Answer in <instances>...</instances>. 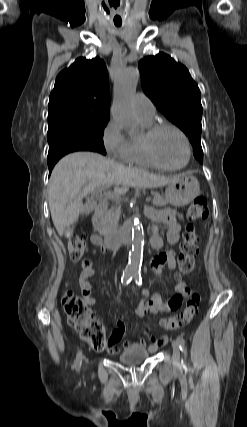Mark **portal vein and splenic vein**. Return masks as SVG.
<instances>
[{
	"mask_svg": "<svg viewBox=\"0 0 247 427\" xmlns=\"http://www.w3.org/2000/svg\"><path fill=\"white\" fill-rule=\"evenodd\" d=\"M103 191H104V188H100V189L96 190V193L97 194H102ZM120 194H121L120 192H116V191L114 193L104 192L105 198L113 199V200H119L120 199ZM150 200H151V197H147L146 198V202H150Z\"/></svg>",
	"mask_w": 247,
	"mask_h": 427,
	"instance_id": "obj_1",
	"label": "portal vein and splenic vein"
}]
</instances>
